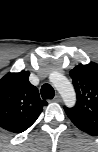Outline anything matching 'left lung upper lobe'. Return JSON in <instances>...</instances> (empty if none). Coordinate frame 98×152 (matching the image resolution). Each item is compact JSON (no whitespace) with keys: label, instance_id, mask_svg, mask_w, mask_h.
<instances>
[{"label":"left lung upper lobe","instance_id":"5c2ea615","mask_svg":"<svg viewBox=\"0 0 98 152\" xmlns=\"http://www.w3.org/2000/svg\"><path fill=\"white\" fill-rule=\"evenodd\" d=\"M77 94L76 105L64 110L76 127L98 130V64L78 65L69 72Z\"/></svg>","mask_w":98,"mask_h":152}]
</instances>
